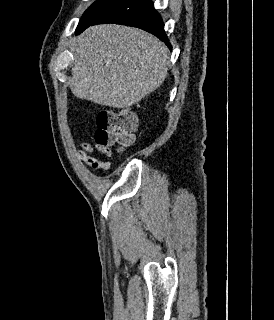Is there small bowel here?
I'll return each mask as SVG.
<instances>
[{
	"instance_id": "c3829d8e",
	"label": "small bowel",
	"mask_w": 274,
	"mask_h": 320,
	"mask_svg": "<svg viewBox=\"0 0 274 320\" xmlns=\"http://www.w3.org/2000/svg\"><path fill=\"white\" fill-rule=\"evenodd\" d=\"M94 145H96V142H92V144L88 142L82 143L81 149L77 153L78 158L94 169L109 170L111 164L108 153H112V146H98L95 149ZM95 150L98 153H101L100 157L103 159V161L91 155V153H93Z\"/></svg>"
}]
</instances>
